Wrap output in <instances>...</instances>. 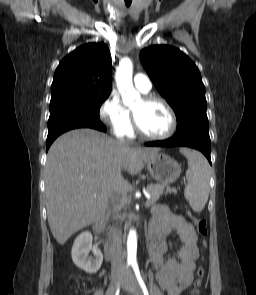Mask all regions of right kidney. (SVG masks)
Masks as SVG:
<instances>
[{
    "label": "right kidney",
    "instance_id": "1",
    "mask_svg": "<svg viewBox=\"0 0 256 295\" xmlns=\"http://www.w3.org/2000/svg\"><path fill=\"white\" fill-rule=\"evenodd\" d=\"M91 251L94 256L89 255ZM71 256L74 264L88 274L96 273L103 262L101 251L92 246V234L89 231L82 232L75 239Z\"/></svg>",
    "mask_w": 256,
    "mask_h": 295
}]
</instances>
